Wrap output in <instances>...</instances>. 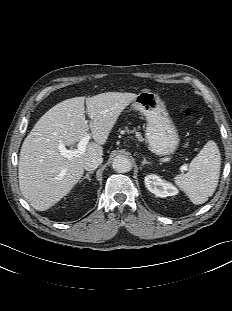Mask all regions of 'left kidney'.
Instances as JSON below:
<instances>
[{"label":"left kidney","instance_id":"5707ae66","mask_svg":"<svg viewBox=\"0 0 232 311\" xmlns=\"http://www.w3.org/2000/svg\"><path fill=\"white\" fill-rule=\"evenodd\" d=\"M144 181L147 189L157 197L164 198L178 194V189L173 184L155 174L147 175Z\"/></svg>","mask_w":232,"mask_h":311}]
</instances>
